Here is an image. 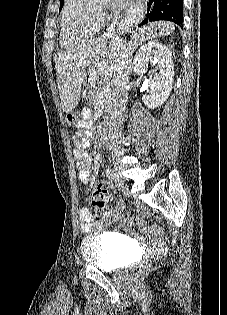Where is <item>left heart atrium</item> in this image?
I'll list each match as a JSON object with an SVG mask.
<instances>
[{"label": "left heart atrium", "mask_w": 227, "mask_h": 315, "mask_svg": "<svg viewBox=\"0 0 227 315\" xmlns=\"http://www.w3.org/2000/svg\"><path fill=\"white\" fill-rule=\"evenodd\" d=\"M128 3V0H112V6L114 8L123 7Z\"/></svg>", "instance_id": "obj_1"}]
</instances>
